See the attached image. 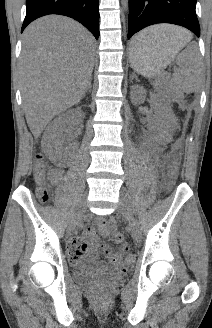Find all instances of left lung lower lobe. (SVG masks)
Here are the masks:
<instances>
[{"label": "left lung lower lobe", "instance_id": "0a47b994", "mask_svg": "<svg viewBox=\"0 0 212 328\" xmlns=\"http://www.w3.org/2000/svg\"><path fill=\"white\" fill-rule=\"evenodd\" d=\"M197 0H129L128 39L141 29L158 23H171L191 30L198 37ZM141 44L135 42L133 48Z\"/></svg>", "mask_w": 212, "mask_h": 328}]
</instances>
